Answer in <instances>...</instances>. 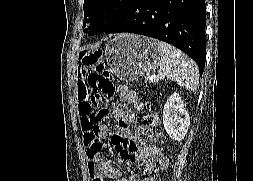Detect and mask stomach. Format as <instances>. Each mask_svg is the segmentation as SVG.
Masks as SVG:
<instances>
[{
  "instance_id": "1",
  "label": "stomach",
  "mask_w": 253,
  "mask_h": 181,
  "mask_svg": "<svg viewBox=\"0 0 253 181\" xmlns=\"http://www.w3.org/2000/svg\"><path fill=\"white\" fill-rule=\"evenodd\" d=\"M110 71L120 80L133 81L153 73L159 66L158 40L134 34H119L104 48Z\"/></svg>"
}]
</instances>
